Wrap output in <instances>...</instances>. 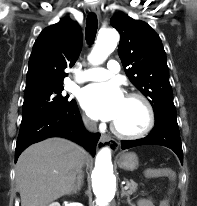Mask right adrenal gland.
I'll use <instances>...</instances> for the list:
<instances>
[{"label":"right adrenal gland","instance_id":"2a0ac1e0","mask_svg":"<svg viewBox=\"0 0 197 206\" xmlns=\"http://www.w3.org/2000/svg\"><path fill=\"white\" fill-rule=\"evenodd\" d=\"M82 184H83L82 177L79 176L78 179H77L76 184L74 185L73 190L71 191V194H77V192L80 191V189L82 187Z\"/></svg>","mask_w":197,"mask_h":206}]
</instances>
